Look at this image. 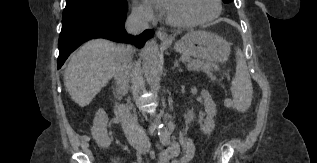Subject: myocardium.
I'll return each mask as SVG.
<instances>
[{
  "instance_id": "f54148a6",
  "label": "myocardium",
  "mask_w": 317,
  "mask_h": 163,
  "mask_svg": "<svg viewBox=\"0 0 317 163\" xmlns=\"http://www.w3.org/2000/svg\"><path fill=\"white\" fill-rule=\"evenodd\" d=\"M214 4H215V9L214 12L203 19H198L195 21H190V22H182V21H177L175 19H173L168 12L166 11V9L164 8L163 14H164V18L165 21L173 26V27H177V28H193V27H197L200 25H205L208 24L212 21H214L215 19H217L219 17V15L221 14L222 11V4H221V0H214Z\"/></svg>"
}]
</instances>
